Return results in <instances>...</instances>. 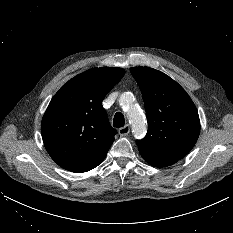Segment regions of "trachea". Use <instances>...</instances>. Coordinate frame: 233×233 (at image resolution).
<instances>
[{
  "instance_id": "trachea-1",
  "label": "trachea",
  "mask_w": 233,
  "mask_h": 233,
  "mask_svg": "<svg viewBox=\"0 0 233 233\" xmlns=\"http://www.w3.org/2000/svg\"><path fill=\"white\" fill-rule=\"evenodd\" d=\"M125 124L124 115L120 112H117L113 119V126L116 128L123 127Z\"/></svg>"
}]
</instances>
